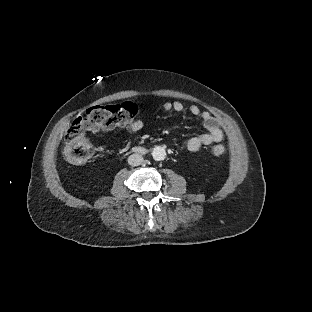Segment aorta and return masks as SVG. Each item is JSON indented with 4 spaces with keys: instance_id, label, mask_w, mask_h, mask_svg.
I'll return each instance as SVG.
<instances>
[{
    "instance_id": "762f6f07",
    "label": "aorta",
    "mask_w": 312,
    "mask_h": 312,
    "mask_svg": "<svg viewBox=\"0 0 312 312\" xmlns=\"http://www.w3.org/2000/svg\"><path fill=\"white\" fill-rule=\"evenodd\" d=\"M152 156L156 161L164 160L166 158V151L162 146H156L152 151Z\"/></svg>"
}]
</instances>
